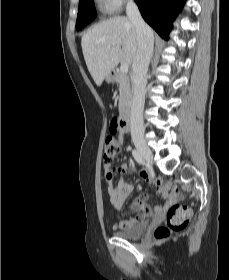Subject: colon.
<instances>
[{"instance_id":"1","label":"colon","mask_w":229,"mask_h":280,"mask_svg":"<svg viewBox=\"0 0 229 280\" xmlns=\"http://www.w3.org/2000/svg\"><path fill=\"white\" fill-rule=\"evenodd\" d=\"M118 125L117 120H113L110 126V133L106 138L104 146V162L109 165L120 150V143L114 136V130ZM107 180L112 179V174H106ZM190 219V210L186 206L173 205L166 215L165 224L157 227L153 232L156 240H165L172 231H178L188 225Z\"/></svg>"}]
</instances>
